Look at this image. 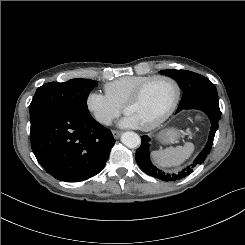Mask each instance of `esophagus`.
I'll list each match as a JSON object with an SVG mask.
<instances>
[{"instance_id": "esophagus-1", "label": "esophagus", "mask_w": 245, "mask_h": 245, "mask_svg": "<svg viewBox=\"0 0 245 245\" xmlns=\"http://www.w3.org/2000/svg\"><path fill=\"white\" fill-rule=\"evenodd\" d=\"M112 134H113L115 139H118L121 135V131L113 130Z\"/></svg>"}]
</instances>
